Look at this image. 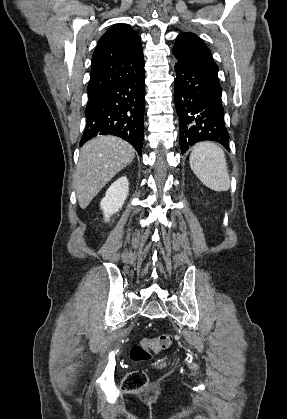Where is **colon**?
<instances>
[{
	"instance_id": "5ec220e1",
	"label": "colon",
	"mask_w": 287,
	"mask_h": 419,
	"mask_svg": "<svg viewBox=\"0 0 287 419\" xmlns=\"http://www.w3.org/2000/svg\"><path fill=\"white\" fill-rule=\"evenodd\" d=\"M172 336L161 334L152 339H142L130 351V358L135 362H144L152 358L153 354L164 351L170 347ZM149 378L145 371L134 370L126 374L122 381V388L126 391L137 390L148 384Z\"/></svg>"
}]
</instances>
